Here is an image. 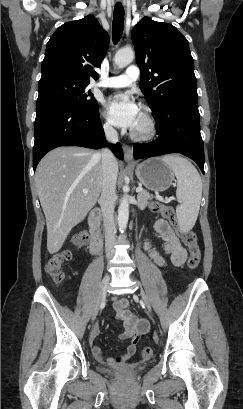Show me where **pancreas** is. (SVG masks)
<instances>
[{
	"label": "pancreas",
	"mask_w": 243,
	"mask_h": 409,
	"mask_svg": "<svg viewBox=\"0 0 243 409\" xmlns=\"http://www.w3.org/2000/svg\"><path fill=\"white\" fill-rule=\"evenodd\" d=\"M152 199H153V196L150 195L149 192H147L146 190H142L137 196L138 207L141 210H144L148 206L149 201Z\"/></svg>",
	"instance_id": "cf45deb5"
}]
</instances>
